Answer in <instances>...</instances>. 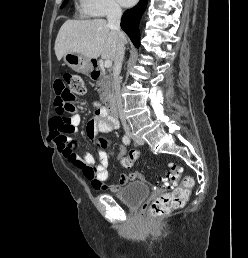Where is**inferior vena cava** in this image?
Segmentation results:
<instances>
[{"label": "inferior vena cava", "mask_w": 248, "mask_h": 258, "mask_svg": "<svg viewBox=\"0 0 248 258\" xmlns=\"http://www.w3.org/2000/svg\"><path fill=\"white\" fill-rule=\"evenodd\" d=\"M122 10L117 3H110L108 12H107V20L108 26L115 30L119 37L118 47L116 51V55L114 58V66H113V82H114V89H115V98H116V105L118 108V113L120 116L121 123L126 134H129V126L126 122V115L123 109V101L120 92V72L122 68V62L124 59L125 47L123 41V33L120 29V20H121Z\"/></svg>", "instance_id": "obj_1"}]
</instances>
